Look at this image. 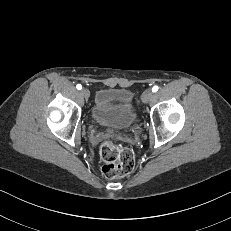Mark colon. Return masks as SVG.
Returning <instances> with one entry per match:
<instances>
[{
    "mask_svg": "<svg viewBox=\"0 0 231 231\" xmlns=\"http://www.w3.org/2000/svg\"><path fill=\"white\" fill-rule=\"evenodd\" d=\"M100 157L103 161L102 173L106 178L113 179L128 175L135 165L133 152L112 141L104 142L100 147Z\"/></svg>",
    "mask_w": 231,
    "mask_h": 231,
    "instance_id": "obj_1",
    "label": "colon"
}]
</instances>
